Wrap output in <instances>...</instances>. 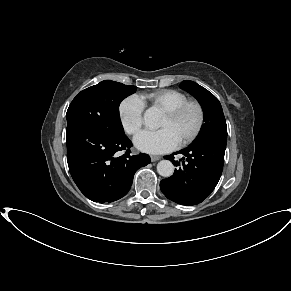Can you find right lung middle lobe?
Masks as SVG:
<instances>
[{
	"label": "right lung middle lobe",
	"mask_w": 291,
	"mask_h": 291,
	"mask_svg": "<svg viewBox=\"0 0 291 291\" xmlns=\"http://www.w3.org/2000/svg\"><path fill=\"white\" fill-rule=\"evenodd\" d=\"M136 87L105 80L81 91L66 113L67 127L81 126L98 133H123L119 104Z\"/></svg>",
	"instance_id": "1"
}]
</instances>
